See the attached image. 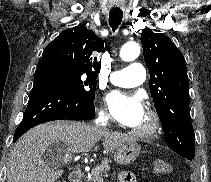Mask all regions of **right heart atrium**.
I'll use <instances>...</instances> for the list:
<instances>
[{
  "instance_id": "obj_1",
  "label": "right heart atrium",
  "mask_w": 211,
  "mask_h": 182,
  "mask_svg": "<svg viewBox=\"0 0 211 182\" xmlns=\"http://www.w3.org/2000/svg\"><path fill=\"white\" fill-rule=\"evenodd\" d=\"M98 117L101 121L103 122H107L110 119L109 114L107 113L106 110H104L103 108H100L98 110Z\"/></svg>"
}]
</instances>
